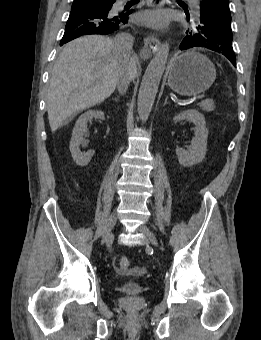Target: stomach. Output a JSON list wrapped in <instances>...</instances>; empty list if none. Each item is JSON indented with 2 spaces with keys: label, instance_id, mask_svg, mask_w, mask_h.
<instances>
[{
  "label": "stomach",
  "instance_id": "0dacf381",
  "mask_svg": "<svg viewBox=\"0 0 261 340\" xmlns=\"http://www.w3.org/2000/svg\"><path fill=\"white\" fill-rule=\"evenodd\" d=\"M167 73L169 87L183 96L206 91L216 78L213 63L206 56L193 51L172 58Z\"/></svg>",
  "mask_w": 261,
  "mask_h": 340
}]
</instances>
